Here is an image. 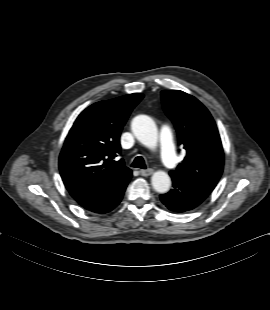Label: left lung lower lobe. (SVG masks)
Segmentation results:
<instances>
[{"label": "left lung lower lobe", "instance_id": "left-lung-lower-lobe-1", "mask_svg": "<svg viewBox=\"0 0 270 310\" xmlns=\"http://www.w3.org/2000/svg\"><path fill=\"white\" fill-rule=\"evenodd\" d=\"M173 189L160 195L161 201L175 212H186L198 207L213 191L215 186L186 180L178 175L170 174Z\"/></svg>", "mask_w": 270, "mask_h": 310}]
</instances>
